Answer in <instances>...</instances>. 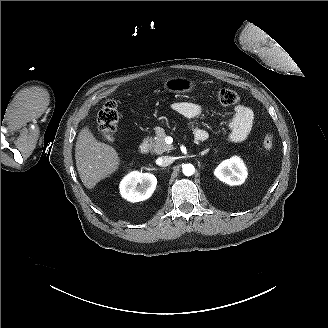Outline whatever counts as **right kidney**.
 Instances as JSON below:
<instances>
[{
	"instance_id": "right-kidney-1",
	"label": "right kidney",
	"mask_w": 328,
	"mask_h": 328,
	"mask_svg": "<svg viewBox=\"0 0 328 328\" xmlns=\"http://www.w3.org/2000/svg\"><path fill=\"white\" fill-rule=\"evenodd\" d=\"M156 185L157 179L153 174L132 171L121 180L119 189L124 199L139 202L151 197Z\"/></svg>"
}]
</instances>
